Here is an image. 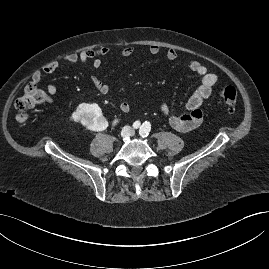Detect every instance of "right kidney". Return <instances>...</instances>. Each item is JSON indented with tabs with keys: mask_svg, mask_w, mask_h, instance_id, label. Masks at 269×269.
I'll use <instances>...</instances> for the list:
<instances>
[{
	"mask_svg": "<svg viewBox=\"0 0 269 269\" xmlns=\"http://www.w3.org/2000/svg\"><path fill=\"white\" fill-rule=\"evenodd\" d=\"M78 115L82 116L81 122L93 130L103 128L105 126L101 109L97 105H80Z\"/></svg>",
	"mask_w": 269,
	"mask_h": 269,
	"instance_id": "obj_1",
	"label": "right kidney"
}]
</instances>
